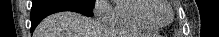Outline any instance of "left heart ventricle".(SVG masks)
Instances as JSON below:
<instances>
[{
  "mask_svg": "<svg viewBox=\"0 0 219 37\" xmlns=\"http://www.w3.org/2000/svg\"><path fill=\"white\" fill-rule=\"evenodd\" d=\"M170 16L171 12L166 3H162L153 15V17L160 22L168 21L170 19Z\"/></svg>",
  "mask_w": 219,
  "mask_h": 37,
  "instance_id": "b2bd125f",
  "label": "left heart ventricle"
}]
</instances>
